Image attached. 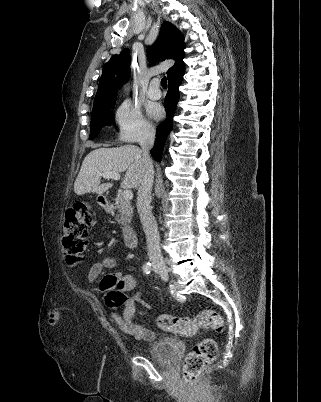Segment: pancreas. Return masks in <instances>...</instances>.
Returning a JSON list of instances; mask_svg holds the SVG:
<instances>
[{
    "instance_id": "pancreas-1",
    "label": "pancreas",
    "mask_w": 321,
    "mask_h": 402,
    "mask_svg": "<svg viewBox=\"0 0 321 402\" xmlns=\"http://www.w3.org/2000/svg\"><path fill=\"white\" fill-rule=\"evenodd\" d=\"M111 213L113 216L116 215L118 223L130 224L133 216V207L128 200L120 198L114 204Z\"/></svg>"
}]
</instances>
